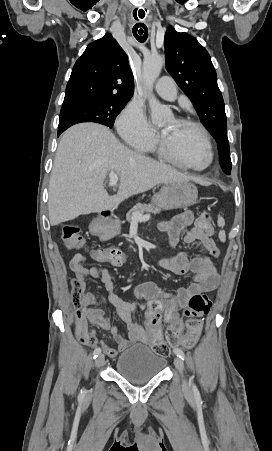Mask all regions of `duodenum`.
<instances>
[{
	"label": "duodenum",
	"mask_w": 272,
	"mask_h": 451,
	"mask_svg": "<svg viewBox=\"0 0 272 451\" xmlns=\"http://www.w3.org/2000/svg\"><path fill=\"white\" fill-rule=\"evenodd\" d=\"M112 214L111 210H105L102 212L101 216L97 218L91 225V232L93 235L106 239L109 236V230L107 223L111 220Z\"/></svg>",
	"instance_id": "duodenum-1"
}]
</instances>
